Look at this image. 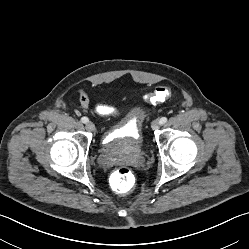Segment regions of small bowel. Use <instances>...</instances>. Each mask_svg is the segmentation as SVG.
Listing matches in <instances>:
<instances>
[{
    "label": "small bowel",
    "instance_id": "1",
    "mask_svg": "<svg viewBox=\"0 0 249 249\" xmlns=\"http://www.w3.org/2000/svg\"><path fill=\"white\" fill-rule=\"evenodd\" d=\"M77 94L79 97L81 107L83 109H88L90 107V99L86 91L82 88H79L77 89ZM95 110L99 115L102 116H113L117 113V110L114 107L103 104L96 105Z\"/></svg>",
    "mask_w": 249,
    "mask_h": 249
}]
</instances>
